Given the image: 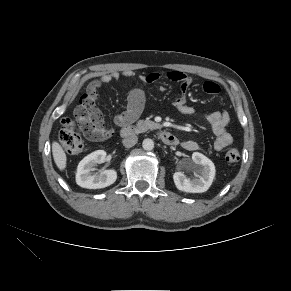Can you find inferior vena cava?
<instances>
[{"instance_id": "602c4592", "label": "inferior vena cava", "mask_w": 291, "mask_h": 291, "mask_svg": "<svg viewBox=\"0 0 291 291\" xmlns=\"http://www.w3.org/2000/svg\"><path fill=\"white\" fill-rule=\"evenodd\" d=\"M138 141V137L136 135H131L123 139L122 143L125 147H132Z\"/></svg>"}]
</instances>
